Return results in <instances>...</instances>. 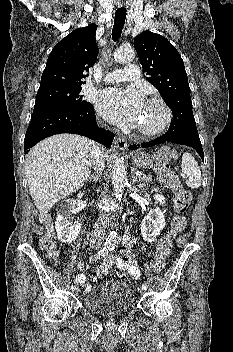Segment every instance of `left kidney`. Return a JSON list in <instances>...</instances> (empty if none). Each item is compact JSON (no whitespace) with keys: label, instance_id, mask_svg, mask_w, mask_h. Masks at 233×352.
<instances>
[{"label":"left kidney","instance_id":"obj_1","mask_svg":"<svg viewBox=\"0 0 233 352\" xmlns=\"http://www.w3.org/2000/svg\"><path fill=\"white\" fill-rule=\"evenodd\" d=\"M164 227V213L159 209V207L151 209L141 223V234L144 241H155Z\"/></svg>","mask_w":233,"mask_h":352}]
</instances>
